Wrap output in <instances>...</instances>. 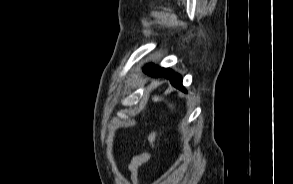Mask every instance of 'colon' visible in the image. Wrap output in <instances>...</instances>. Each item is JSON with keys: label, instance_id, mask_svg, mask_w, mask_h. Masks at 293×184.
I'll list each match as a JSON object with an SVG mask.
<instances>
[{"label": "colon", "instance_id": "obj_1", "mask_svg": "<svg viewBox=\"0 0 293 184\" xmlns=\"http://www.w3.org/2000/svg\"><path fill=\"white\" fill-rule=\"evenodd\" d=\"M157 136H158V131L156 130L152 131L148 137L150 150L142 154H139L132 159L129 165V170H130L131 180L133 184H138V172L141 165H143L144 163H146L152 158L153 152L156 147Z\"/></svg>", "mask_w": 293, "mask_h": 184}]
</instances>
